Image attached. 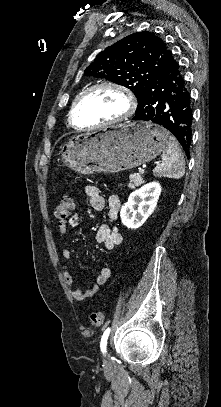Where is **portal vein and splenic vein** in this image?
Returning a JSON list of instances; mask_svg holds the SVG:
<instances>
[{"label": "portal vein and splenic vein", "mask_w": 221, "mask_h": 407, "mask_svg": "<svg viewBox=\"0 0 221 407\" xmlns=\"http://www.w3.org/2000/svg\"><path fill=\"white\" fill-rule=\"evenodd\" d=\"M145 172V166H143V167H141V168H139V173H144Z\"/></svg>", "instance_id": "1"}]
</instances>
